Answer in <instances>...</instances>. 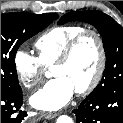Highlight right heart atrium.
Segmentation results:
<instances>
[{
	"label": "right heart atrium",
	"mask_w": 123,
	"mask_h": 123,
	"mask_svg": "<svg viewBox=\"0 0 123 123\" xmlns=\"http://www.w3.org/2000/svg\"><path fill=\"white\" fill-rule=\"evenodd\" d=\"M13 65L21 84L27 89L35 88L42 80L45 67L38 57L19 48L13 56Z\"/></svg>",
	"instance_id": "right-heart-atrium-1"
}]
</instances>
